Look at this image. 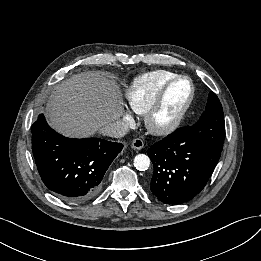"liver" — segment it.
Here are the masks:
<instances>
[{
	"instance_id": "6515ba94",
	"label": "liver",
	"mask_w": 261,
	"mask_h": 261,
	"mask_svg": "<svg viewBox=\"0 0 261 261\" xmlns=\"http://www.w3.org/2000/svg\"><path fill=\"white\" fill-rule=\"evenodd\" d=\"M48 123L68 137H89L123 114L118 86L99 72H83L58 84L47 103Z\"/></svg>"
}]
</instances>
